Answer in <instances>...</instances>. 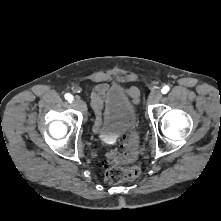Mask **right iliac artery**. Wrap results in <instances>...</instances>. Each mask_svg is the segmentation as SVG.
Instances as JSON below:
<instances>
[{
  "label": "right iliac artery",
  "instance_id": "82829eb1",
  "mask_svg": "<svg viewBox=\"0 0 221 221\" xmlns=\"http://www.w3.org/2000/svg\"><path fill=\"white\" fill-rule=\"evenodd\" d=\"M65 99L68 101V102H72L73 101V96L70 94V93H66L65 94Z\"/></svg>",
  "mask_w": 221,
  "mask_h": 221
}]
</instances>
